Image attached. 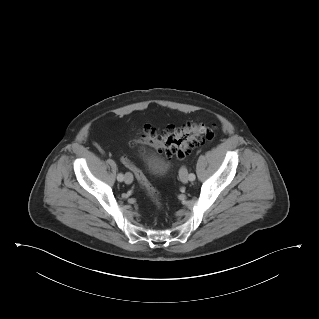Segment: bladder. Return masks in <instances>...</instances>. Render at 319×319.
Masks as SVG:
<instances>
[{
  "mask_svg": "<svg viewBox=\"0 0 319 319\" xmlns=\"http://www.w3.org/2000/svg\"><path fill=\"white\" fill-rule=\"evenodd\" d=\"M145 164L148 172L152 176L165 175L169 170V165L163 156L156 152H151L145 155Z\"/></svg>",
  "mask_w": 319,
  "mask_h": 319,
  "instance_id": "obj_1",
  "label": "bladder"
}]
</instances>
